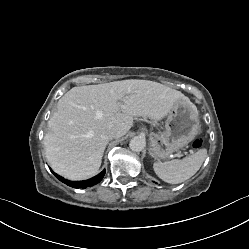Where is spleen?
<instances>
[{"label": "spleen", "instance_id": "1", "mask_svg": "<svg viewBox=\"0 0 249 249\" xmlns=\"http://www.w3.org/2000/svg\"><path fill=\"white\" fill-rule=\"evenodd\" d=\"M206 157L207 150L200 149L181 160L156 162L153 164V169L163 181L170 184H179L192 177L200 169Z\"/></svg>", "mask_w": 249, "mask_h": 249}]
</instances>
